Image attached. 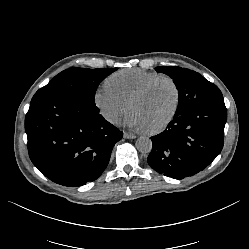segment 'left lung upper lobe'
Segmentation results:
<instances>
[{"label":"left lung upper lobe","instance_id":"obj_1","mask_svg":"<svg viewBox=\"0 0 249 249\" xmlns=\"http://www.w3.org/2000/svg\"><path fill=\"white\" fill-rule=\"evenodd\" d=\"M155 69L169 75L178 89L179 103L175 116L198 105L224 101L219 88L195 71L176 66H159Z\"/></svg>","mask_w":249,"mask_h":249}]
</instances>
